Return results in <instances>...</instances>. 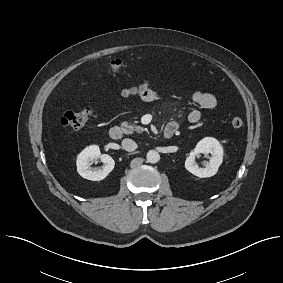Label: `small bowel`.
Here are the masks:
<instances>
[{
	"label": "small bowel",
	"instance_id": "1",
	"mask_svg": "<svg viewBox=\"0 0 283 283\" xmlns=\"http://www.w3.org/2000/svg\"><path fill=\"white\" fill-rule=\"evenodd\" d=\"M87 88V85H85ZM130 96H137L141 98L145 102H153L157 100L158 93L151 86L148 80H144L142 83L136 86H132L129 88H125L117 96L118 101H122ZM192 101L194 104L198 105L203 109H214L217 105L216 98L210 94L205 92L196 91L192 94ZM188 122L195 124L201 119V111L198 108H192L188 113ZM169 124H174L177 128L179 124L177 121L173 120Z\"/></svg>",
	"mask_w": 283,
	"mask_h": 283
}]
</instances>
